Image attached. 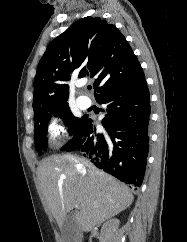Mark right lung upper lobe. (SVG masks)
Wrapping results in <instances>:
<instances>
[{
    "instance_id": "right-lung-upper-lobe-1",
    "label": "right lung upper lobe",
    "mask_w": 187,
    "mask_h": 242,
    "mask_svg": "<svg viewBox=\"0 0 187 242\" xmlns=\"http://www.w3.org/2000/svg\"><path fill=\"white\" fill-rule=\"evenodd\" d=\"M94 79L95 98L144 77L124 35L99 17H85L56 37L42 56L34 80L35 115L67 105L69 81Z\"/></svg>"
}]
</instances>
